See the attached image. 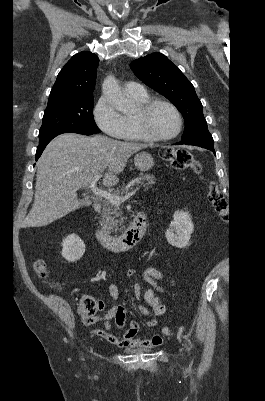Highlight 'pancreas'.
I'll return each instance as SVG.
<instances>
[{"instance_id": "obj_1", "label": "pancreas", "mask_w": 265, "mask_h": 401, "mask_svg": "<svg viewBox=\"0 0 265 401\" xmlns=\"http://www.w3.org/2000/svg\"><path fill=\"white\" fill-rule=\"evenodd\" d=\"M144 180H146L144 184ZM143 184L145 188H150L151 184H154L155 182V176H151V174H139V176H136V178H132L131 182H128V184H131V186H134V184ZM128 184H125L123 182V186H118L117 190H114L113 194H125L127 192L126 186ZM123 213L117 205H113L111 201H109V198H106V201H103L102 205V211H101V223L102 227L104 229H107V231H123L125 227H123L122 223L124 221V217H122ZM120 217V219H118ZM120 225V229L118 227Z\"/></svg>"}]
</instances>
